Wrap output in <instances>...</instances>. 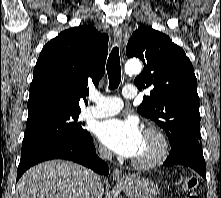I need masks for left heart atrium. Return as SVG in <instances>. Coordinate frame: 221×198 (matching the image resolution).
<instances>
[{
  "instance_id": "left-heart-atrium-1",
  "label": "left heart atrium",
  "mask_w": 221,
  "mask_h": 198,
  "mask_svg": "<svg viewBox=\"0 0 221 198\" xmlns=\"http://www.w3.org/2000/svg\"><path fill=\"white\" fill-rule=\"evenodd\" d=\"M96 136L108 148L126 157H133L142 141L138 122L133 118L102 121L97 125Z\"/></svg>"
}]
</instances>
